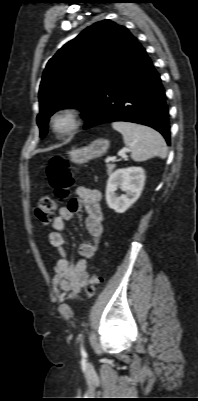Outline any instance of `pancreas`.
<instances>
[{
	"instance_id": "cf45deb5",
	"label": "pancreas",
	"mask_w": 198,
	"mask_h": 401,
	"mask_svg": "<svg viewBox=\"0 0 198 401\" xmlns=\"http://www.w3.org/2000/svg\"><path fill=\"white\" fill-rule=\"evenodd\" d=\"M115 168L114 164H107V174L110 175Z\"/></svg>"
}]
</instances>
